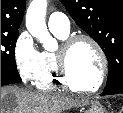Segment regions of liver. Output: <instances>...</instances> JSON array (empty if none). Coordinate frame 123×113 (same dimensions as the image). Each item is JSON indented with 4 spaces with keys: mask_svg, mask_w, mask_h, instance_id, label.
Masks as SVG:
<instances>
[{
    "mask_svg": "<svg viewBox=\"0 0 123 113\" xmlns=\"http://www.w3.org/2000/svg\"><path fill=\"white\" fill-rule=\"evenodd\" d=\"M83 101L61 94L36 93L15 86L1 87V113H62Z\"/></svg>",
    "mask_w": 123,
    "mask_h": 113,
    "instance_id": "liver-1",
    "label": "liver"
}]
</instances>
